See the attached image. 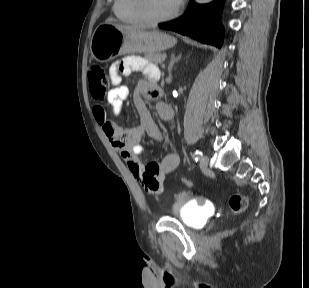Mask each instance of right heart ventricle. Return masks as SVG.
<instances>
[{
  "mask_svg": "<svg viewBox=\"0 0 309 288\" xmlns=\"http://www.w3.org/2000/svg\"><path fill=\"white\" fill-rule=\"evenodd\" d=\"M113 11L116 17L124 23H144V21L140 18L135 10L134 0H115Z\"/></svg>",
  "mask_w": 309,
  "mask_h": 288,
  "instance_id": "obj_1",
  "label": "right heart ventricle"
}]
</instances>
